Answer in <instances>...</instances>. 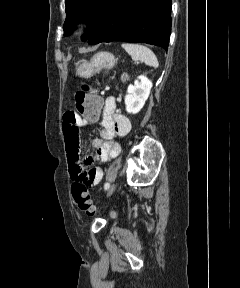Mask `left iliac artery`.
<instances>
[{
	"mask_svg": "<svg viewBox=\"0 0 240 288\" xmlns=\"http://www.w3.org/2000/svg\"><path fill=\"white\" fill-rule=\"evenodd\" d=\"M109 187H110V184H109L108 182H106L105 185H104V189H105V190H108Z\"/></svg>",
	"mask_w": 240,
	"mask_h": 288,
	"instance_id": "left-iliac-artery-1",
	"label": "left iliac artery"
}]
</instances>
